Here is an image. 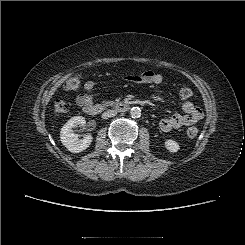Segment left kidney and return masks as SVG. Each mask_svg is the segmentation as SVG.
<instances>
[{"label":"left kidney","instance_id":"1","mask_svg":"<svg viewBox=\"0 0 245 245\" xmlns=\"http://www.w3.org/2000/svg\"><path fill=\"white\" fill-rule=\"evenodd\" d=\"M164 145H165L166 149L172 153H175L180 149L179 144L176 141L171 140V139L166 140L164 142Z\"/></svg>","mask_w":245,"mask_h":245}]
</instances>
